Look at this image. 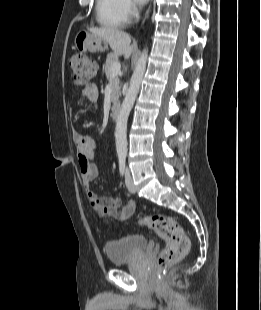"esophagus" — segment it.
Returning a JSON list of instances; mask_svg holds the SVG:
<instances>
[{
    "instance_id": "obj_1",
    "label": "esophagus",
    "mask_w": 261,
    "mask_h": 310,
    "mask_svg": "<svg viewBox=\"0 0 261 310\" xmlns=\"http://www.w3.org/2000/svg\"><path fill=\"white\" fill-rule=\"evenodd\" d=\"M150 11H151V6H150L149 9L147 10V13H146V15H145L144 21L148 18ZM144 21H143V22H144Z\"/></svg>"
}]
</instances>
